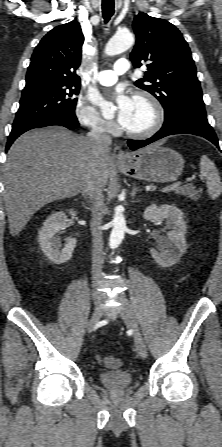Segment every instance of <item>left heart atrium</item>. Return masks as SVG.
Instances as JSON below:
<instances>
[{"instance_id": "39dd6f15", "label": "left heart atrium", "mask_w": 222, "mask_h": 447, "mask_svg": "<svg viewBox=\"0 0 222 447\" xmlns=\"http://www.w3.org/2000/svg\"><path fill=\"white\" fill-rule=\"evenodd\" d=\"M114 102L116 106L117 120L123 127H125L132 112L133 99L122 90H118L114 96Z\"/></svg>"}]
</instances>
